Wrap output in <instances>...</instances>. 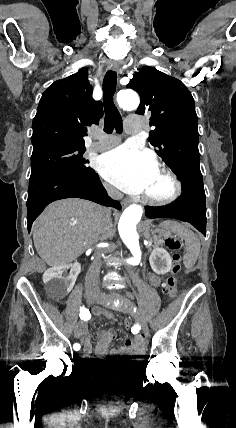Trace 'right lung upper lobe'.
<instances>
[{"instance_id":"right-lung-upper-lobe-1","label":"right lung upper lobe","mask_w":236,"mask_h":428,"mask_svg":"<svg viewBox=\"0 0 236 428\" xmlns=\"http://www.w3.org/2000/svg\"><path fill=\"white\" fill-rule=\"evenodd\" d=\"M103 116L101 101L92 98L87 68L54 82L42 94L33 119V148L50 142L84 141L86 126Z\"/></svg>"}]
</instances>
